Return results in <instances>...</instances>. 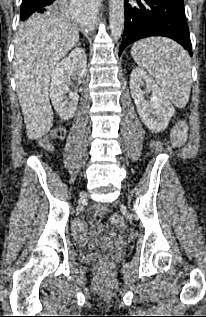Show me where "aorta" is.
<instances>
[{
    "instance_id": "obj_1",
    "label": "aorta",
    "mask_w": 206,
    "mask_h": 317,
    "mask_svg": "<svg viewBox=\"0 0 206 317\" xmlns=\"http://www.w3.org/2000/svg\"><path fill=\"white\" fill-rule=\"evenodd\" d=\"M110 30L114 40H119L124 29V0H109ZM82 25L90 27L93 22L88 14L78 20Z\"/></svg>"
}]
</instances>
